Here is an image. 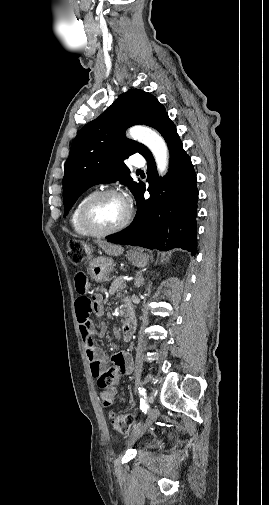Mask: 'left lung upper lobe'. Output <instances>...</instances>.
I'll list each match as a JSON object with an SVG mask.
<instances>
[{
	"label": "left lung upper lobe",
	"instance_id": "obj_1",
	"mask_svg": "<svg viewBox=\"0 0 269 505\" xmlns=\"http://www.w3.org/2000/svg\"><path fill=\"white\" fill-rule=\"evenodd\" d=\"M167 115L164 106L148 92L130 89L119 95L98 118L86 124L71 145L64 166L63 200L66 216L78 197L93 185L119 180L134 196L141 182H134L124 159L149 149L124 136L136 124L153 128Z\"/></svg>",
	"mask_w": 269,
	"mask_h": 505
}]
</instances>
